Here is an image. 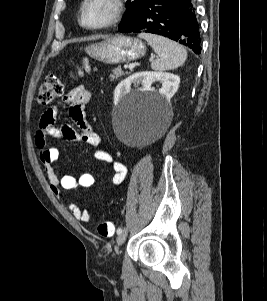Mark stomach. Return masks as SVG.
Instances as JSON below:
<instances>
[{"instance_id":"obj_1","label":"stomach","mask_w":267,"mask_h":301,"mask_svg":"<svg viewBox=\"0 0 267 301\" xmlns=\"http://www.w3.org/2000/svg\"><path fill=\"white\" fill-rule=\"evenodd\" d=\"M85 51L91 58L100 62L118 64L140 59L146 53V46L137 38L116 35L89 45Z\"/></svg>"}]
</instances>
